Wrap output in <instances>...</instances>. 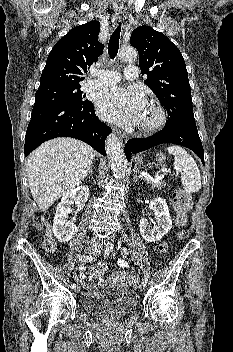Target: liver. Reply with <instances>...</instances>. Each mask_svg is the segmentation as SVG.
Listing matches in <instances>:
<instances>
[{"mask_svg": "<svg viewBox=\"0 0 233 352\" xmlns=\"http://www.w3.org/2000/svg\"><path fill=\"white\" fill-rule=\"evenodd\" d=\"M95 155L92 147L68 137L49 140L31 153L26 171L32 196L41 211L82 183Z\"/></svg>", "mask_w": 233, "mask_h": 352, "instance_id": "obj_1", "label": "liver"}]
</instances>
